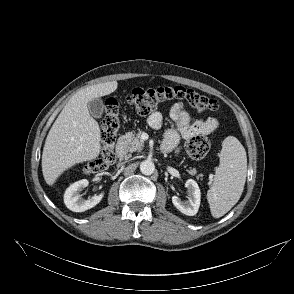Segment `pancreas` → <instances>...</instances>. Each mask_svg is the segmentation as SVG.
Returning a JSON list of instances; mask_svg holds the SVG:
<instances>
[{
	"label": "pancreas",
	"mask_w": 294,
	"mask_h": 294,
	"mask_svg": "<svg viewBox=\"0 0 294 294\" xmlns=\"http://www.w3.org/2000/svg\"><path fill=\"white\" fill-rule=\"evenodd\" d=\"M143 132L142 131H138V133H134V132H129L126 134V140H127V149L130 152H134V151H141L144 147V141L141 139V134ZM188 173L191 175H196V169H189ZM203 175L202 174H198L196 176L197 179L201 178Z\"/></svg>",
	"instance_id": "cf45deb5"
}]
</instances>
